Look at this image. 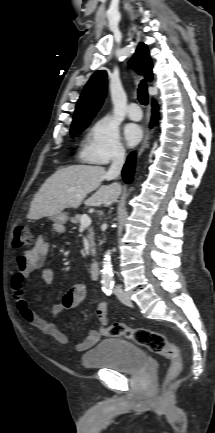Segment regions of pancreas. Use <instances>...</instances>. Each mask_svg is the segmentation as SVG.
Wrapping results in <instances>:
<instances>
[{"mask_svg":"<svg viewBox=\"0 0 215 433\" xmlns=\"http://www.w3.org/2000/svg\"><path fill=\"white\" fill-rule=\"evenodd\" d=\"M83 217V215L80 214H76L74 217L70 218V221L74 224H77L81 221V218ZM89 234H88V240H89V246H90V251L91 254L94 256L95 255V242H94V233L92 229L88 230Z\"/></svg>","mask_w":215,"mask_h":433,"instance_id":"cf45deb5","label":"pancreas"}]
</instances>
